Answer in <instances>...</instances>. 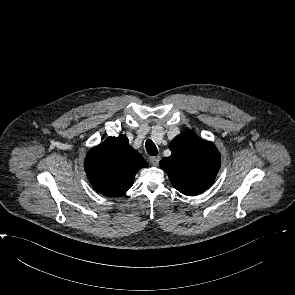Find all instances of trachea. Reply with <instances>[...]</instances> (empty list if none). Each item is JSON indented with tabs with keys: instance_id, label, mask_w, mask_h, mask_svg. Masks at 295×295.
I'll return each mask as SVG.
<instances>
[{
	"instance_id": "1",
	"label": "trachea",
	"mask_w": 295,
	"mask_h": 295,
	"mask_svg": "<svg viewBox=\"0 0 295 295\" xmlns=\"http://www.w3.org/2000/svg\"><path fill=\"white\" fill-rule=\"evenodd\" d=\"M145 146H146L147 153L149 155H151V156L158 155L157 147L152 140L148 139L145 143Z\"/></svg>"
}]
</instances>
